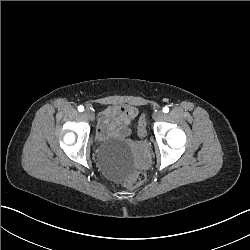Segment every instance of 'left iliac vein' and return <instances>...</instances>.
Listing matches in <instances>:
<instances>
[{
  "mask_svg": "<svg viewBox=\"0 0 250 250\" xmlns=\"http://www.w3.org/2000/svg\"><path fill=\"white\" fill-rule=\"evenodd\" d=\"M164 113L162 111H157L153 114L155 120H162L164 118Z\"/></svg>",
  "mask_w": 250,
  "mask_h": 250,
  "instance_id": "obj_1",
  "label": "left iliac vein"
}]
</instances>
